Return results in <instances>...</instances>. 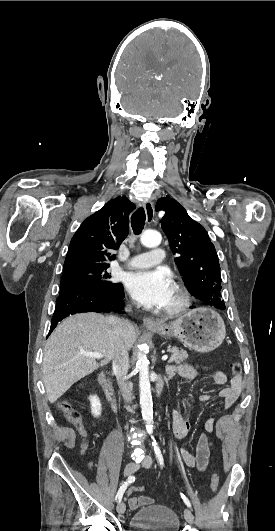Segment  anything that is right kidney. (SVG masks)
Returning <instances> with one entry per match:
<instances>
[{
  "mask_svg": "<svg viewBox=\"0 0 275 531\" xmlns=\"http://www.w3.org/2000/svg\"><path fill=\"white\" fill-rule=\"evenodd\" d=\"M89 401L91 403V413L93 417H100L102 407L99 397H97V395H90Z\"/></svg>",
  "mask_w": 275,
  "mask_h": 531,
  "instance_id": "1",
  "label": "right kidney"
}]
</instances>
